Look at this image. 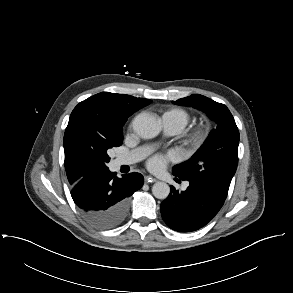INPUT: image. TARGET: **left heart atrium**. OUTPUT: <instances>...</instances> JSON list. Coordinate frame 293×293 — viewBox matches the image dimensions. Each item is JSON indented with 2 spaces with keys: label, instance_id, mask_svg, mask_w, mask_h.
Returning a JSON list of instances; mask_svg holds the SVG:
<instances>
[{
  "label": "left heart atrium",
  "instance_id": "39dd6f15",
  "mask_svg": "<svg viewBox=\"0 0 293 293\" xmlns=\"http://www.w3.org/2000/svg\"><path fill=\"white\" fill-rule=\"evenodd\" d=\"M172 159V154H158L149 160L148 167L151 171L160 173L166 168L168 162Z\"/></svg>",
  "mask_w": 293,
  "mask_h": 293
}]
</instances>
